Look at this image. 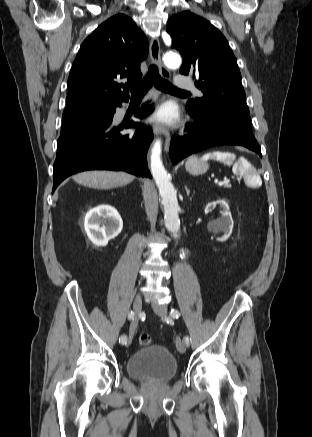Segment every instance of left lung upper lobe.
Returning <instances> with one entry per match:
<instances>
[{
	"instance_id": "obj_1",
	"label": "left lung upper lobe",
	"mask_w": 312,
	"mask_h": 437,
	"mask_svg": "<svg viewBox=\"0 0 312 437\" xmlns=\"http://www.w3.org/2000/svg\"><path fill=\"white\" fill-rule=\"evenodd\" d=\"M167 32L172 47L183 57L180 73L193 76L204 94L189 100L187 111L227 122L243 136L255 139L237 60L222 33L190 11L173 15Z\"/></svg>"
}]
</instances>
